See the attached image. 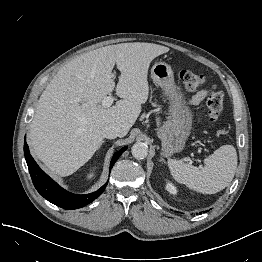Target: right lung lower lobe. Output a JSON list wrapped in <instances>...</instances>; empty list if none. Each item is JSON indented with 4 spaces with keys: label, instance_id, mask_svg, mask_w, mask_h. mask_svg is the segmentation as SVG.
Segmentation results:
<instances>
[{
    "label": "right lung lower lobe",
    "instance_id": "98d812e1",
    "mask_svg": "<svg viewBox=\"0 0 262 262\" xmlns=\"http://www.w3.org/2000/svg\"><path fill=\"white\" fill-rule=\"evenodd\" d=\"M126 149L127 147H123L114 154L110 163V169L113 167L117 159ZM24 155L33 184L37 191L48 201L64 209L73 210L91 203L104 191L107 185L106 183L99 190L90 194H72L61 188L39 168V166L30 155L29 148L26 142L24 143Z\"/></svg>",
    "mask_w": 262,
    "mask_h": 262
}]
</instances>
